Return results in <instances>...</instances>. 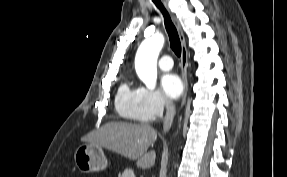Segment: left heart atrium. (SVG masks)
Wrapping results in <instances>:
<instances>
[{
	"instance_id": "left-heart-atrium-1",
	"label": "left heart atrium",
	"mask_w": 287,
	"mask_h": 177,
	"mask_svg": "<svg viewBox=\"0 0 287 177\" xmlns=\"http://www.w3.org/2000/svg\"><path fill=\"white\" fill-rule=\"evenodd\" d=\"M161 87L168 99L175 100L182 95L184 83L178 75L167 73L161 79Z\"/></svg>"
}]
</instances>
